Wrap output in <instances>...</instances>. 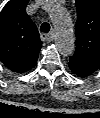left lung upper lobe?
Wrapping results in <instances>:
<instances>
[{"label": "left lung upper lobe", "mask_w": 100, "mask_h": 118, "mask_svg": "<svg viewBox=\"0 0 100 118\" xmlns=\"http://www.w3.org/2000/svg\"><path fill=\"white\" fill-rule=\"evenodd\" d=\"M76 50L69 63L90 72L100 68V0H75Z\"/></svg>", "instance_id": "left-lung-upper-lobe-1"}]
</instances>
